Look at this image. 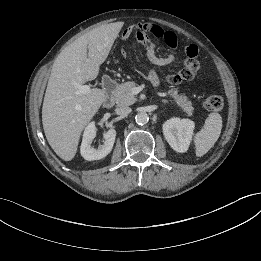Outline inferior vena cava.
I'll return each instance as SVG.
<instances>
[{
	"label": "inferior vena cava",
	"mask_w": 261,
	"mask_h": 261,
	"mask_svg": "<svg viewBox=\"0 0 261 261\" xmlns=\"http://www.w3.org/2000/svg\"><path fill=\"white\" fill-rule=\"evenodd\" d=\"M131 111H132L131 108H130V107H127V106H125V107H119V108H116V109H115L116 114H118V115H124V116H127L128 114H130Z\"/></svg>",
	"instance_id": "602c4592"
}]
</instances>
